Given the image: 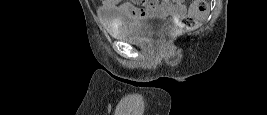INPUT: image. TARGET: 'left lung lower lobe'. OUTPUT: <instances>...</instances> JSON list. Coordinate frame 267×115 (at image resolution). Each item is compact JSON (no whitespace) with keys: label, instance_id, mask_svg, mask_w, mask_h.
Masks as SVG:
<instances>
[{"label":"left lung lower lobe","instance_id":"left-lung-lower-lobe-1","mask_svg":"<svg viewBox=\"0 0 267 115\" xmlns=\"http://www.w3.org/2000/svg\"><path fill=\"white\" fill-rule=\"evenodd\" d=\"M144 87H160L159 85H146Z\"/></svg>","mask_w":267,"mask_h":115}]
</instances>
